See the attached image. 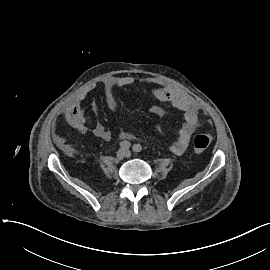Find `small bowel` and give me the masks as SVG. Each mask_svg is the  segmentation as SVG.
<instances>
[{"mask_svg":"<svg viewBox=\"0 0 270 270\" xmlns=\"http://www.w3.org/2000/svg\"><path fill=\"white\" fill-rule=\"evenodd\" d=\"M133 83L134 79L128 76L112 78L104 82L105 101L110 110L117 111L118 109L116 99L117 91ZM144 85L149 93L155 98L184 113V121L182 127L180 128L178 137L171 145V151L175 155H182L187 149L191 136L200 126L199 110L197 105L185 91L176 86L158 82L153 78L144 80ZM87 93L88 90L82 91L77 99L72 102L65 111V119L68 124L77 132L82 134H85L88 131V126L86 124V118L82 107V101L85 99ZM149 111L154 116H160L164 112L162 107L158 105H152L149 108ZM93 133L96 137L105 141H109L112 138L111 131L99 122L95 124ZM119 137L121 139L134 138L132 134L127 132H121Z\"/></svg>","mask_w":270,"mask_h":270,"instance_id":"small-bowel-1","label":"small bowel"}]
</instances>
